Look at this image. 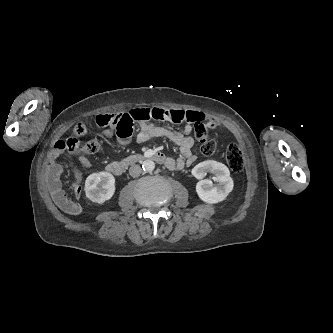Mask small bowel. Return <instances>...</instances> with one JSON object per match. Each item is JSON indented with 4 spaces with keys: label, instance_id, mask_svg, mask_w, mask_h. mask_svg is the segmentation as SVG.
Returning a JSON list of instances; mask_svg holds the SVG:
<instances>
[{
    "label": "small bowel",
    "instance_id": "obj_1",
    "mask_svg": "<svg viewBox=\"0 0 333 333\" xmlns=\"http://www.w3.org/2000/svg\"><path fill=\"white\" fill-rule=\"evenodd\" d=\"M128 117L130 124V132L126 135H117L118 142L120 144H125L128 142L132 134V129L134 124L140 126V130L137 134V140L139 142H146L153 137H163L174 144L178 145L182 157L178 159L167 158V163L165 166L168 169H183L186 165H191L195 160V156L192 153V147L194 141L190 136L193 125L196 123H202L211 129H216L217 125L221 129L226 127L221 124L218 120L217 122L213 117H209L203 112L195 110H181V109H164L159 107L154 108H135L131 109L125 113ZM156 121H168L171 123H181L184 122V126L181 131H175L172 128H165L158 126L152 122ZM106 137H112L113 131L106 129L104 131ZM53 157H55L53 155ZM82 165L85 168H90L91 163L86 157H81L80 159ZM62 172V165L56 161H52L47 170L48 176V186L52 195L54 202L63 210L73 213L75 208L67 197L63 190L62 183L60 180V174ZM81 193L80 187H75L74 194L79 197Z\"/></svg>",
    "mask_w": 333,
    "mask_h": 333
}]
</instances>
